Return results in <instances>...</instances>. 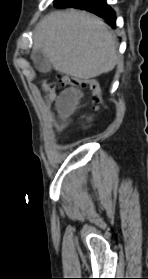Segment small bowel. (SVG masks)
Returning a JSON list of instances; mask_svg holds the SVG:
<instances>
[{
    "label": "small bowel",
    "instance_id": "1",
    "mask_svg": "<svg viewBox=\"0 0 148 279\" xmlns=\"http://www.w3.org/2000/svg\"><path fill=\"white\" fill-rule=\"evenodd\" d=\"M82 92L78 88H67L63 90L55 101L59 124L58 129L65 127L68 118L77 110Z\"/></svg>",
    "mask_w": 148,
    "mask_h": 279
}]
</instances>
